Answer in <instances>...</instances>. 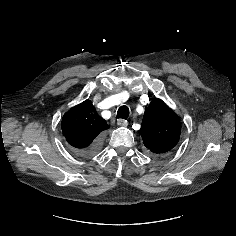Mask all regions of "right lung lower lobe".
Here are the masks:
<instances>
[{"label":"right lung lower lobe","instance_id":"obj_1","mask_svg":"<svg viewBox=\"0 0 236 236\" xmlns=\"http://www.w3.org/2000/svg\"><path fill=\"white\" fill-rule=\"evenodd\" d=\"M101 147V140L97 139L90 147L78 150V153L82 156H91L95 154Z\"/></svg>","mask_w":236,"mask_h":236}]
</instances>
